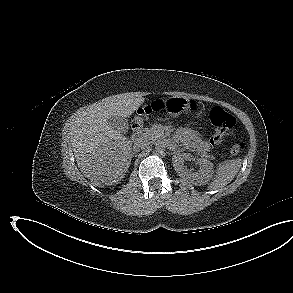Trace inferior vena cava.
Listing matches in <instances>:
<instances>
[{
	"instance_id": "inferior-vena-cava-1",
	"label": "inferior vena cava",
	"mask_w": 293,
	"mask_h": 293,
	"mask_svg": "<svg viewBox=\"0 0 293 293\" xmlns=\"http://www.w3.org/2000/svg\"><path fill=\"white\" fill-rule=\"evenodd\" d=\"M149 146V141L142 139V140H138L134 143L133 145V150L135 152L139 151L140 149H145Z\"/></svg>"
}]
</instances>
